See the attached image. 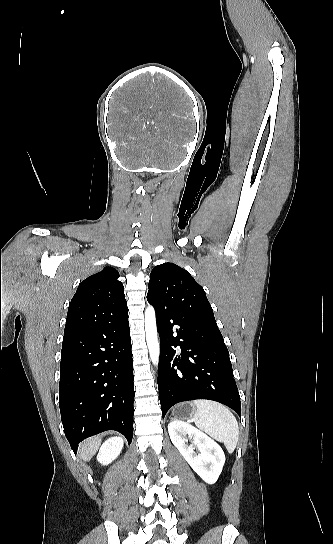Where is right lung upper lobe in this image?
<instances>
[{
    "mask_svg": "<svg viewBox=\"0 0 333 544\" xmlns=\"http://www.w3.org/2000/svg\"><path fill=\"white\" fill-rule=\"evenodd\" d=\"M112 267L82 281L67 313L64 336L122 318L128 313L123 284Z\"/></svg>",
    "mask_w": 333,
    "mask_h": 544,
    "instance_id": "1",
    "label": "right lung upper lobe"
}]
</instances>
